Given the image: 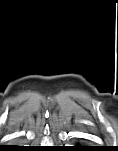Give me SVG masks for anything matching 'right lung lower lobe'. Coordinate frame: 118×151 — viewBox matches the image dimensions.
<instances>
[{
  "label": "right lung lower lobe",
  "mask_w": 118,
  "mask_h": 151,
  "mask_svg": "<svg viewBox=\"0 0 118 151\" xmlns=\"http://www.w3.org/2000/svg\"><path fill=\"white\" fill-rule=\"evenodd\" d=\"M22 148L23 147L11 146V147H8V148L3 149V150H23Z\"/></svg>",
  "instance_id": "98d812e1"
}]
</instances>
